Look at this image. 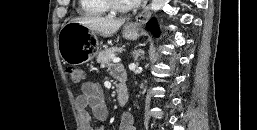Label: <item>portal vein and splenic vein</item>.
<instances>
[{
	"mask_svg": "<svg viewBox=\"0 0 257 130\" xmlns=\"http://www.w3.org/2000/svg\"><path fill=\"white\" fill-rule=\"evenodd\" d=\"M112 61L114 63H119L121 61V59L119 57H113Z\"/></svg>",
	"mask_w": 257,
	"mask_h": 130,
	"instance_id": "1",
	"label": "portal vein and splenic vein"
}]
</instances>
